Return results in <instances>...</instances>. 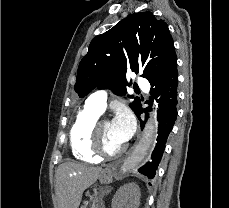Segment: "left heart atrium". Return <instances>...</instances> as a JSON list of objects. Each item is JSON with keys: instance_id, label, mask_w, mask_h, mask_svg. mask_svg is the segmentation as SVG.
I'll use <instances>...</instances> for the list:
<instances>
[{"instance_id": "39dd6f15", "label": "left heart atrium", "mask_w": 229, "mask_h": 208, "mask_svg": "<svg viewBox=\"0 0 229 208\" xmlns=\"http://www.w3.org/2000/svg\"><path fill=\"white\" fill-rule=\"evenodd\" d=\"M112 128L115 136L121 141H128L135 130V120L129 109L121 107L116 111Z\"/></svg>"}]
</instances>
